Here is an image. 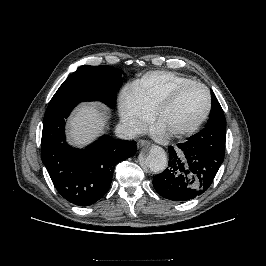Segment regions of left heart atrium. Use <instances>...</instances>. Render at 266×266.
<instances>
[{"mask_svg":"<svg viewBox=\"0 0 266 266\" xmlns=\"http://www.w3.org/2000/svg\"><path fill=\"white\" fill-rule=\"evenodd\" d=\"M157 132H158L159 134H163V133L165 132V130H164L160 125H158V127H157Z\"/></svg>","mask_w":266,"mask_h":266,"instance_id":"1","label":"left heart atrium"}]
</instances>
